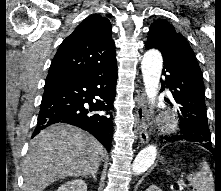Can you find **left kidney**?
Listing matches in <instances>:
<instances>
[{"label": "left kidney", "mask_w": 221, "mask_h": 191, "mask_svg": "<svg viewBox=\"0 0 221 191\" xmlns=\"http://www.w3.org/2000/svg\"><path fill=\"white\" fill-rule=\"evenodd\" d=\"M146 191H162L160 188H158L155 185L149 186V188Z\"/></svg>", "instance_id": "left-kidney-1"}]
</instances>
